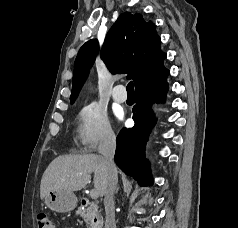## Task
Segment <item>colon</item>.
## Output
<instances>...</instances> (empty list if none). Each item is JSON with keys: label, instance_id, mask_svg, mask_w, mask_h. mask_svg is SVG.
Returning a JSON list of instances; mask_svg holds the SVG:
<instances>
[{"label": "colon", "instance_id": "1", "mask_svg": "<svg viewBox=\"0 0 238 228\" xmlns=\"http://www.w3.org/2000/svg\"><path fill=\"white\" fill-rule=\"evenodd\" d=\"M36 225L37 228H55L52 219L49 214L45 211H39L36 214Z\"/></svg>", "mask_w": 238, "mask_h": 228}]
</instances>
